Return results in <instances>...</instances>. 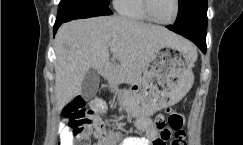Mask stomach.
<instances>
[{"label": "stomach", "instance_id": "obj_1", "mask_svg": "<svg viewBox=\"0 0 243 145\" xmlns=\"http://www.w3.org/2000/svg\"><path fill=\"white\" fill-rule=\"evenodd\" d=\"M160 49L145 67L142 94H120V103H126L134 116H152L156 110L176 104L193 85L195 48L190 45L185 50Z\"/></svg>", "mask_w": 243, "mask_h": 145}]
</instances>
